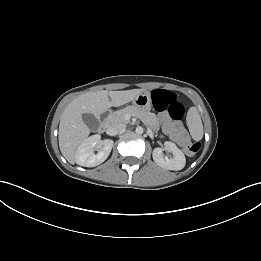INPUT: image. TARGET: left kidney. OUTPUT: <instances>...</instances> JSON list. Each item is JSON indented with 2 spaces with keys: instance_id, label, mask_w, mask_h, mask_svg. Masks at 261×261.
Listing matches in <instances>:
<instances>
[{
  "instance_id": "1",
  "label": "left kidney",
  "mask_w": 261,
  "mask_h": 261,
  "mask_svg": "<svg viewBox=\"0 0 261 261\" xmlns=\"http://www.w3.org/2000/svg\"><path fill=\"white\" fill-rule=\"evenodd\" d=\"M166 147L173 153V158L164 157L161 148H155L153 150V160L160 167L168 170H181L186 164V158L184 153L172 142H166Z\"/></svg>"
}]
</instances>
